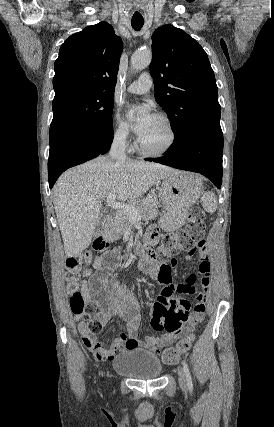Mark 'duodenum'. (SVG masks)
Here are the masks:
<instances>
[{"label": "duodenum", "mask_w": 274, "mask_h": 427, "mask_svg": "<svg viewBox=\"0 0 274 427\" xmlns=\"http://www.w3.org/2000/svg\"><path fill=\"white\" fill-rule=\"evenodd\" d=\"M110 224V219L107 218L104 222V226L107 227ZM102 240V237H99L98 242ZM135 252L142 258L144 264H149L154 261L156 253L149 245H142L135 249Z\"/></svg>", "instance_id": "1"}]
</instances>
